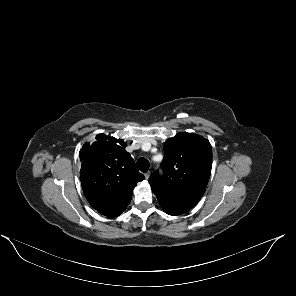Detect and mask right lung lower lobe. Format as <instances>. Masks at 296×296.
Here are the masks:
<instances>
[{"mask_svg":"<svg viewBox=\"0 0 296 296\" xmlns=\"http://www.w3.org/2000/svg\"><path fill=\"white\" fill-rule=\"evenodd\" d=\"M125 208L126 207L118 208V209H105V210L100 211L99 213L102 215H105L109 218H114V217L120 215L125 210Z\"/></svg>","mask_w":296,"mask_h":296,"instance_id":"1","label":"right lung lower lobe"}]
</instances>
